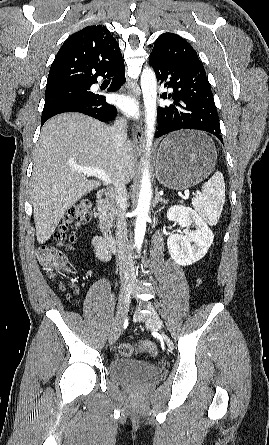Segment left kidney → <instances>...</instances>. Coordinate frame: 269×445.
I'll use <instances>...</instances> for the list:
<instances>
[{"instance_id":"1","label":"left kidney","mask_w":269,"mask_h":445,"mask_svg":"<svg viewBox=\"0 0 269 445\" xmlns=\"http://www.w3.org/2000/svg\"><path fill=\"white\" fill-rule=\"evenodd\" d=\"M170 221L179 222L189 229L193 224L196 230L174 234L167 240L168 251L179 265L188 266L202 259L211 246L214 235L204 220L190 207L173 206L167 211Z\"/></svg>"}]
</instances>
